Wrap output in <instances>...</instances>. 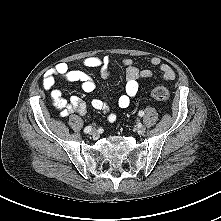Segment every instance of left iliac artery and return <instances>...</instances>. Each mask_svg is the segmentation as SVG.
Returning a JSON list of instances; mask_svg holds the SVG:
<instances>
[{
  "label": "left iliac artery",
  "instance_id": "obj_1",
  "mask_svg": "<svg viewBox=\"0 0 221 221\" xmlns=\"http://www.w3.org/2000/svg\"><path fill=\"white\" fill-rule=\"evenodd\" d=\"M138 115L142 117L144 115V111H139Z\"/></svg>",
  "mask_w": 221,
  "mask_h": 221
}]
</instances>
